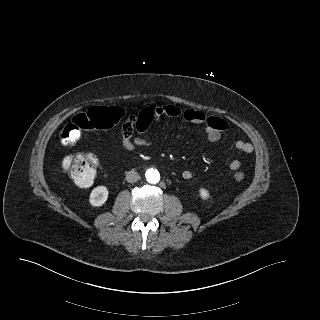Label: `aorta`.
I'll list each match as a JSON object with an SVG mask.
<instances>
[{
	"label": "aorta",
	"instance_id": "762f6f07",
	"mask_svg": "<svg viewBox=\"0 0 320 320\" xmlns=\"http://www.w3.org/2000/svg\"><path fill=\"white\" fill-rule=\"evenodd\" d=\"M147 181L151 184H156L160 180V174L157 170L149 169L146 172Z\"/></svg>",
	"mask_w": 320,
	"mask_h": 320
}]
</instances>
